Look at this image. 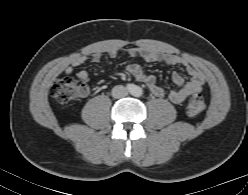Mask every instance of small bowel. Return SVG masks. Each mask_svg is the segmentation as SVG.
Returning a JSON list of instances; mask_svg holds the SVG:
<instances>
[{"label": "small bowel", "instance_id": "1", "mask_svg": "<svg viewBox=\"0 0 248 195\" xmlns=\"http://www.w3.org/2000/svg\"><path fill=\"white\" fill-rule=\"evenodd\" d=\"M129 53L132 56H136L139 54L137 49H130ZM108 54L112 57L116 56L117 50L110 49ZM102 58L101 53H94L90 56H80L72 61L70 65L65 68L66 74H71L74 69L78 66L84 64L87 60L99 61ZM141 58L144 63H155L162 62L167 65H183L190 77L188 81H184L183 77L177 73L172 74V81L178 86L177 89L172 90L169 93V99L171 102L175 104L182 103L192 94L198 93L202 90L205 84V76L204 74L196 67L191 66L183 62L178 56L155 52L146 50L141 52ZM127 71L133 77H135L138 81L143 82L147 85L149 90L157 97H160L164 94V89L157 84L156 78L153 75L147 74L141 63H132L127 67ZM77 76L83 82H86L89 78V74L85 70H80L77 72ZM89 90L87 87L84 88L82 95L88 94Z\"/></svg>", "mask_w": 248, "mask_h": 195}]
</instances>
